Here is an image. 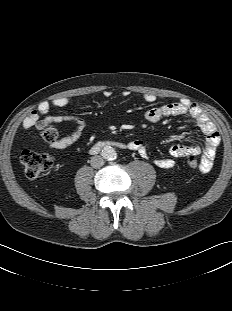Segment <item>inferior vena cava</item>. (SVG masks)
I'll return each instance as SVG.
<instances>
[{"instance_id":"602c4592","label":"inferior vena cava","mask_w":232,"mask_h":311,"mask_svg":"<svg viewBox=\"0 0 232 311\" xmlns=\"http://www.w3.org/2000/svg\"><path fill=\"white\" fill-rule=\"evenodd\" d=\"M90 164L93 168H100L104 165V160L101 156H93L91 157Z\"/></svg>"}]
</instances>
